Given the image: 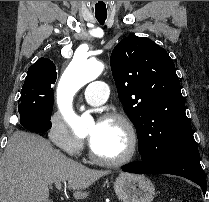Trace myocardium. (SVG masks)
Here are the masks:
<instances>
[{
	"instance_id": "myocardium-1",
	"label": "myocardium",
	"mask_w": 209,
	"mask_h": 202,
	"mask_svg": "<svg viewBox=\"0 0 209 202\" xmlns=\"http://www.w3.org/2000/svg\"><path fill=\"white\" fill-rule=\"evenodd\" d=\"M102 121H115L120 123L125 128L128 134L129 148L125 153V155H123L122 157L116 159H110L98 155L94 150L93 146L91 145V143H89L90 158L94 162L100 165L109 166V167H120L131 162L137 156L139 149L138 134L133 123L129 120L128 117L119 113L106 114L102 117Z\"/></svg>"
}]
</instances>
